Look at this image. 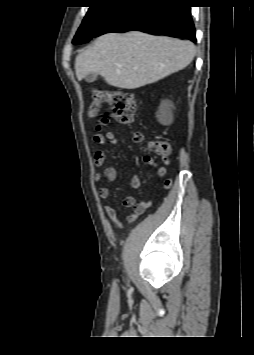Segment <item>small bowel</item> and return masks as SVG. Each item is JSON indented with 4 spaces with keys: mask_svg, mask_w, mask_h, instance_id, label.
Wrapping results in <instances>:
<instances>
[{
    "mask_svg": "<svg viewBox=\"0 0 254 355\" xmlns=\"http://www.w3.org/2000/svg\"><path fill=\"white\" fill-rule=\"evenodd\" d=\"M108 125V120L105 119V121L100 123V127H105ZM93 140L95 144H97L100 147L105 146L107 143L111 144H117L118 140L113 132H106L105 134L103 133H96L93 137ZM94 162L95 165L100 168L102 171L97 172L94 174V181L96 183H102L103 186L99 188L98 190V196L101 200H106L109 195L110 191L109 188L107 187V184H110L114 182L117 178V172L115 168L110 167V166H105V152L102 149H98L94 153ZM144 162L151 167H153L159 177H163L166 175V168L162 165H160L155 159L149 156L144 157ZM165 163H169L168 159H164ZM141 181L140 178L137 174L133 175L130 179V186L133 189H138L140 187ZM123 206L125 208H133L132 213L127 217V222L128 223H133L136 219L137 216L142 212V209L144 207V204H136V199L133 196H127L124 201H123ZM104 213L106 216L117 226V227H123V223L119 220L118 214L115 208H113L110 205H104L103 207Z\"/></svg>",
    "mask_w": 254,
    "mask_h": 355,
    "instance_id": "small-bowel-1",
    "label": "small bowel"
}]
</instances>
